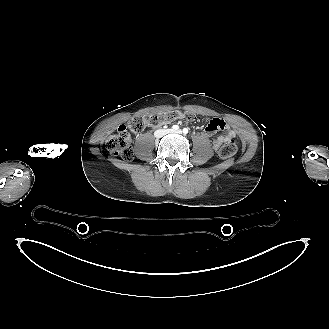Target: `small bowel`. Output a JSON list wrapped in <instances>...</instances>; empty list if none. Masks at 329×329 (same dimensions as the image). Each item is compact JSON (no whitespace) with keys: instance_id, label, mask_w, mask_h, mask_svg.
Wrapping results in <instances>:
<instances>
[{"instance_id":"obj_1","label":"small bowel","mask_w":329,"mask_h":329,"mask_svg":"<svg viewBox=\"0 0 329 329\" xmlns=\"http://www.w3.org/2000/svg\"><path fill=\"white\" fill-rule=\"evenodd\" d=\"M215 133L218 135V137L214 138L212 141L215 149L218 148L223 141L232 139L236 135L234 130L226 122L217 118L210 120L204 130L206 136H212Z\"/></svg>"}]
</instances>
